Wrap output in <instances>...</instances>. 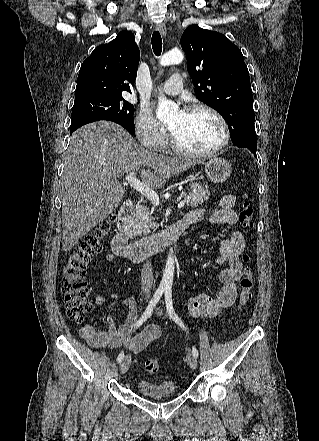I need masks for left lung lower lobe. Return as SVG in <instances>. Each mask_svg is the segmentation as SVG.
Returning <instances> with one entry per match:
<instances>
[{"label":"left lung lower lobe","mask_w":319,"mask_h":441,"mask_svg":"<svg viewBox=\"0 0 319 441\" xmlns=\"http://www.w3.org/2000/svg\"><path fill=\"white\" fill-rule=\"evenodd\" d=\"M250 151H251L252 153H254L255 156H256V150H255V149H250Z\"/></svg>","instance_id":"obj_1"}]
</instances>
